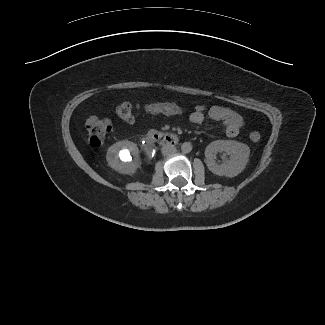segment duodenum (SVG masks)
Returning a JSON list of instances; mask_svg holds the SVG:
<instances>
[{
	"label": "duodenum",
	"instance_id": "410a0bca",
	"mask_svg": "<svg viewBox=\"0 0 325 325\" xmlns=\"http://www.w3.org/2000/svg\"><path fill=\"white\" fill-rule=\"evenodd\" d=\"M146 139L157 143L175 145L179 141V136L175 133L152 131L147 134Z\"/></svg>",
	"mask_w": 325,
	"mask_h": 325
}]
</instances>
